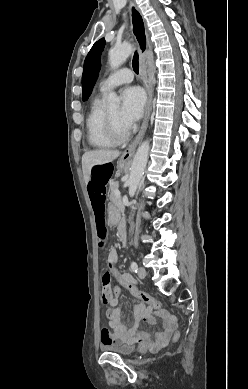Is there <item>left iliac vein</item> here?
Listing matches in <instances>:
<instances>
[{
    "label": "left iliac vein",
    "instance_id": "obj_1",
    "mask_svg": "<svg viewBox=\"0 0 248 389\" xmlns=\"http://www.w3.org/2000/svg\"><path fill=\"white\" fill-rule=\"evenodd\" d=\"M138 276L143 279L146 276V270L144 267H139L138 269Z\"/></svg>",
    "mask_w": 248,
    "mask_h": 389
}]
</instances>
